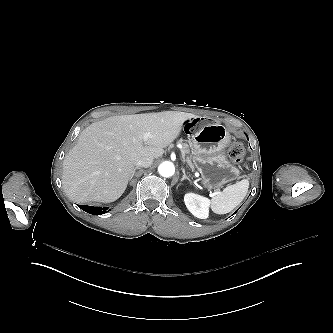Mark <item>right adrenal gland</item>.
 Instances as JSON below:
<instances>
[{
  "label": "right adrenal gland",
  "mask_w": 333,
  "mask_h": 333,
  "mask_svg": "<svg viewBox=\"0 0 333 333\" xmlns=\"http://www.w3.org/2000/svg\"><path fill=\"white\" fill-rule=\"evenodd\" d=\"M136 169H140V167H136V168L134 169V172H133L132 176L130 177V180L133 178V176H134V174H135V171H136Z\"/></svg>",
  "instance_id": "obj_1"
}]
</instances>
